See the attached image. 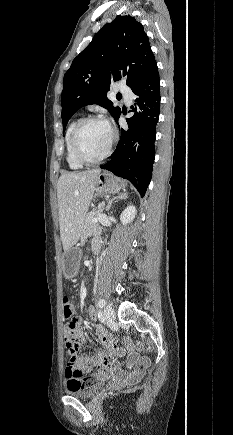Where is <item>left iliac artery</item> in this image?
<instances>
[{"label": "left iliac artery", "mask_w": 233, "mask_h": 435, "mask_svg": "<svg viewBox=\"0 0 233 435\" xmlns=\"http://www.w3.org/2000/svg\"><path fill=\"white\" fill-rule=\"evenodd\" d=\"M105 304H106V302H105L104 299H100V300L98 301V307H99V308H103V307L105 306Z\"/></svg>", "instance_id": "obj_1"}]
</instances>
